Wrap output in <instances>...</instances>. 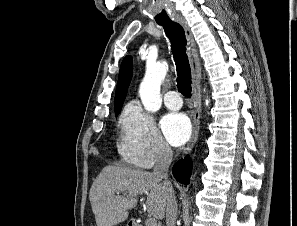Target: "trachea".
Segmentation results:
<instances>
[{"label": "trachea", "instance_id": "3493384b", "mask_svg": "<svg viewBox=\"0 0 297 226\" xmlns=\"http://www.w3.org/2000/svg\"><path fill=\"white\" fill-rule=\"evenodd\" d=\"M164 28L171 42V49L177 70L178 90L187 98L191 96V68L186 55V37L183 27L173 21L158 23Z\"/></svg>", "mask_w": 297, "mask_h": 226}]
</instances>
